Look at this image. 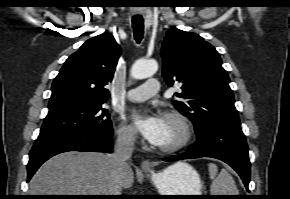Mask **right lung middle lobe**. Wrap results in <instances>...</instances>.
Returning a JSON list of instances; mask_svg holds the SVG:
<instances>
[{
  "mask_svg": "<svg viewBox=\"0 0 290 199\" xmlns=\"http://www.w3.org/2000/svg\"><path fill=\"white\" fill-rule=\"evenodd\" d=\"M104 103L70 106L49 112L39 136L69 133L78 130H107L112 128Z\"/></svg>",
  "mask_w": 290,
  "mask_h": 199,
  "instance_id": "right-lung-middle-lobe-1",
  "label": "right lung middle lobe"
}]
</instances>
